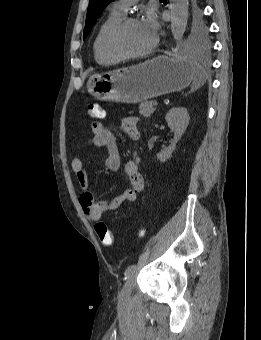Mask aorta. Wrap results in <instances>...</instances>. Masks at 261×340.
<instances>
[{"label": "aorta", "mask_w": 261, "mask_h": 340, "mask_svg": "<svg viewBox=\"0 0 261 340\" xmlns=\"http://www.w3.org/2000/svg\"><path fill=\"white\" fill-rule=\"evenodd\" d=\"M171 32L179 40L186 29L188 20V0H170Z\"/></svg>", "instance_id": "obj_1"}]
</instances>
